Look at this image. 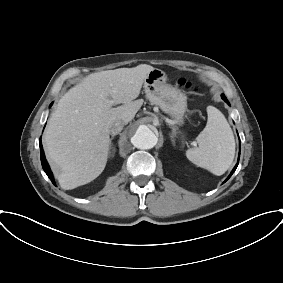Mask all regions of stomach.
Wrapping results in <instances>:
<instances>
[{"mask_svg":"<svg viewBox=\"0 0 283 283\" xmlns=\"http://www.w3.org/2000/svg\"><path fill=\"white\" fill-rule=\"evenodd\" d=\"M167 76L161 69H153L144 80V91L150 102L160 107L177 124L183 122L187 110V97L183 92L167 84Z\"/></svg>","mask_w":283,"mask_h":283,"instance_id":"0dacf381","label":"stomach"}]
</instances>
